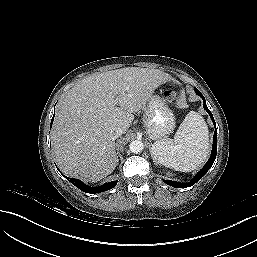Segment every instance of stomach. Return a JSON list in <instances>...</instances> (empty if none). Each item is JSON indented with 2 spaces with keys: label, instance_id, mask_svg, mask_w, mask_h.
Segmentation results:
<instances>
[{
  "label": "stomach",
  "instance_id": "1",
  "mask_svg": "<svg viewBox=\"0 0 257 257\" xmlns=\"http://www.w3.org/2000/svg\"><path fill=\"white\" fill-rule=\"evenodd\" d=\"M143 122L152 140L162 138L173 131L175 118L164 97L151 94L144 106Z\"/></svg>",
  "mask_w": 257,
  "mask_h": 257
}]
</instances>
